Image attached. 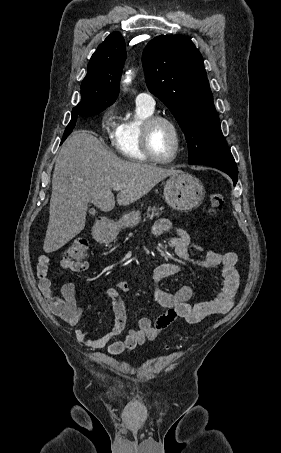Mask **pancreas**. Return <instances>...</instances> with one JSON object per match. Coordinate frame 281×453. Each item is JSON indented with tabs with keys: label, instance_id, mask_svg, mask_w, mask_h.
<instances>
[{
	"label": "pancreas",
	"instance_id": "pancreas-1",
	"mask_svg": "<svg viewBox=\"0 0 281 453\" xmlns=\"http://www.w3.org/2000/svg\"><path fill=\"white\" fill-rule=\"evenodd\" d=\"M160 210H163V206H160V208H157V206H147V210L145 212L146 218H153V216H160V214H161Z\"/></svg>",
	"mask_w": 281,
	"mask_h": 453
}]
</instances>
